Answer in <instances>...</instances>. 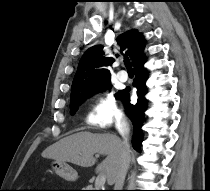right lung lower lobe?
<instances>
[{"mask_svg": "<svg viewBox=\"0 0 210 191\" xmlns=\"http://www.w3.org/2000/svg\"><path fill=\"white\" fill-rule=\"evenodd\" d=\"M144 49L136 57L133 66L135 71V79L133 80V86L137 88L138 102L136 104H131L128 92L129 87H126L124 90L119 92V96L123 101L126 113L133 122V137L132 145L135 150L139 151L140 146L143 141V131L141 129L144 122V112L147 109V100L145 99V94L147 93L146 80L147 70L144 68Z\"/></svg>", "mask_w": 210, "mask_h": 191, "instance_id": "obj_1", "label": "right lung lower lobe"}]
</instances>
